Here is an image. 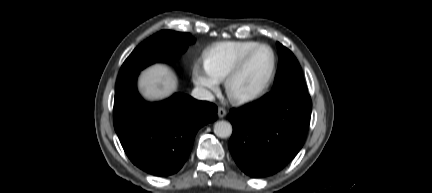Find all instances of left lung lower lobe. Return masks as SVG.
Segmentation results:
<instances>
[{"label":"left lung lower lobe","mask_w":432,"mask_h":193,"mask_svg":"<svg viewBox=\"0 0 432 193\" xmlns=\"http://www.w3.org/2000/svg\"><path fill=\"white\" fill-rule=\"evenodd\" d=\"M307 92H273L253 107L231 110L229 150L249 176L272 175L287 165L303 146L311 116Z\"/></svg>","instance_id":"1"}]
</instances>
